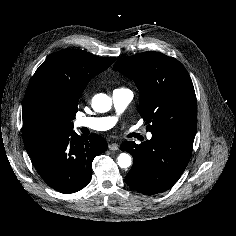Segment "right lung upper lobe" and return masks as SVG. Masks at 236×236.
Here are the masks:
<instances>
[{
    "instance_id": "right-lung-upper-lobe-1",
    "label": "right lung upper lobe",
    "mask_w": 236,
    "mask_h": 236,
    "mask_svg": "<svg viewBox=\"0 0 236 236\" xmlns=\"http://www.w3.org/2000/svg\"><path fill=\"white\" fill-rule=\"evenodd\" d=\"M114 61V57L101 58L74 49H62L47 58L31 78L24 97L22 132L25 146L55 136L46 135L35 123L40 103L48 104L65 116L75 117L78 100L89 81Z\"/></svg>"
}]
</instances>
